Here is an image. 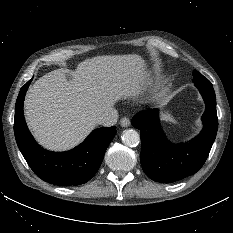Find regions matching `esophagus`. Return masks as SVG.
Returning <instances> with one entry per match:
<instances>
[{"mask_svg": "<svg viewBox=\"0 0 233 233\" xmlns=\"http://www.w3.org/2000/svg\"><path fill=\"white\" fill-rule=\"evenodd\" d=\"M120 125L122 127H129L130 126V120L127 117H122L120 120Z\"/></svg>", "mask_w": 233, "mask_h": 233, "instance_id": "esophagus-1", "label": "esophagus"}]
</instances>
